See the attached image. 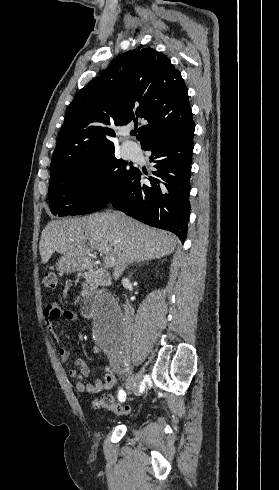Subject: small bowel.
I'll return each mask as SVG.
<instances>
[{"instance_id": "c3829d8e", "label": "small bowel", "mask_w": 279, "mask_h": 490, "mask_svg": "<svg viewBox=\"0 0 279 490\" xmlns=\"http://www.w3.org/2000/svg\"><path fill=\"white\" fill-rule=\"evenodd\" d=\"M64 319L67 321H77V314L69 309H64L54 302H49L43 309L44 325L48 329H52L54 322ZM59 344L58 354L63 362L70 359L71 353L69 349L62 345V340L56 337ZM90 369L86 362L82 359L73 361L72 369L69 372V377L75 382L76 391L85 394H99L103 391L110 390L115 385V376L110 367L105 368L103 378L97 380L94 384L85 383L84 379L89 375Z\"/></svg>"}]
</instances>
